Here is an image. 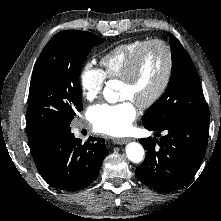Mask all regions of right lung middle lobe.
<instances>
[{
  "label": "right lung middle lobe",
  "instance_id": "dd1d6c3e",
  "mask_svg": "<svg viewBox=\"0 0 221 221\" xmlns=\"http://www.w3.org/2000/svg\"><path fill=\"white\" fill-rule=\"evenodd\" d=\"M103 42L90 32L68 30L47 43L36 62L29 89L26 121L30 146L70 127L82 111L81 66L92 47Z\"/></svg>",
  "mask_w": 221,
  "mask_h": 221
}]
</instances>
